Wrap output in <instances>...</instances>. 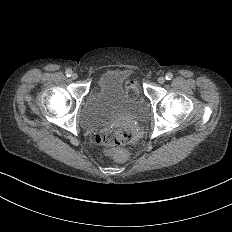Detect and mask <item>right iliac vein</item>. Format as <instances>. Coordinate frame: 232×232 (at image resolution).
Here are the masks:
<instances>
[{"label":"right iliac vein","instance_id":"1","mask_svg":"<svg viewBox=\"0 0 232 232\" xmlns=\"http://www.w3.org/2000/svg\"><path fill=\"white\" fill-rule=\"evenodd\" d=\"M72 78H73V79H76V78H77V75H76V74H73V75H72Z\"/></svg>","mask_w":232,"mask_h":232}]
</instances>
